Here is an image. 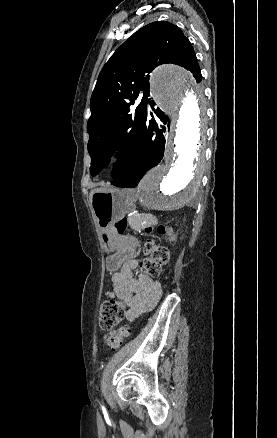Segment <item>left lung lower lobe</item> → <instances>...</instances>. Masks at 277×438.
<instances>
[{"mask_svg": "<svg viewBox=\"0 0 277 438\" xmlns=\"http://www.w3.org/2000/svg\"><path fill=\"white\" fill-rule=\"evenodd\" d=\"M153 113H146L145 127L142 132L141 140L137 146L136 152L131 159L126 170L111 184L119 187H136L144 174L152 167L161 162L164 155L166 127L158 125L161 121L167 124V116L159 109H154V101L150 102ZM150 116L152 119H150Z\"/></svg>", "mask_w": 277, "mask_h": 438, "instance_id": "1", "label": "left lung lower lobe"}]
</instances>
